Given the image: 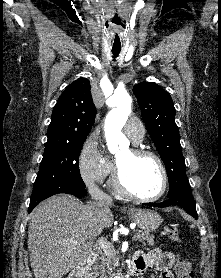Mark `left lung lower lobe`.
I'll list each match as a JSON object with an SVG mask.
<instances>
[{
  "mask_svg": "<svg viewBox=\"0 0 221 278\" xmlns=\"http://www.w3.org/2000/svg\"><path fill=\"white\" fill-rule=\"evenodd\" d=\"M143 205L153 207H168L171 205H177L184 208L186 212L194 218H197L196 204L190 187H183L179 189L174 195L169 197L168 200L162 203H145Z\"/></svg>",
  "mask_w": 221,
  "mask_h": 278,
  "instance_id": "0a47b994",
  "label": "left lung lower lobe"
}]
</instances>
